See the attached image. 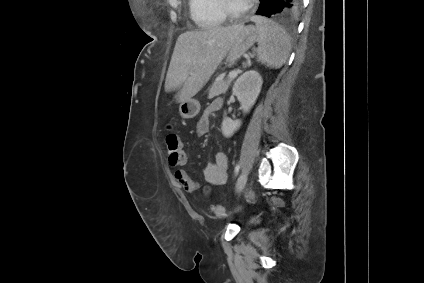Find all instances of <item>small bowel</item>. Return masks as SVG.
<instances>
[{
	"mask_svg": "<svg viewBox=\"0 0 424 283\" xmlns=\"http://www.w3.org/2000/svg\"><path fill=\"white\" fill-rule=\"evenodd\" d=\"M222 106V100L217 98L213 100L204 110L201 117L199 118L196 126V132L198 135H204L209 130L210 116L213 112L218 110ZM173 152L178 153V159H182L176 163H172L171 160L175 155ZM168 162L173 167L183 166L186 163L187 156L183 150V146L180 150L167 151ZM174 177L182 189L188 193L193 194L199 190V183L194 181L185 170L177 169L174 173ZM205 180L214 186L222 185L227 181L228 178V158L225 152L218 151L215 155V160L207 164L204 169Z\"/></svg>",
	"mask_w": 424,
	"mask_h": 283,
	"instance_id": "small-bowel-1",
	"label": "small bowel"
}]
</instances>
